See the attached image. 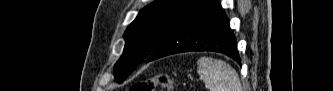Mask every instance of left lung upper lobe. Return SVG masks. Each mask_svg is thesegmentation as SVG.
I'll list each match as a JSON object with an SVG mask.
<instances>
[{"instance_id": "5c2ea615", "label": "left lung upper lobe", "mask_w": 333, "mask_h": 91, "mask_svg": "<svg viewBox=\"0 0 333 91\" xmlns=\"http://www.w3.org/2000/svg\"><path fill=\"white\" fill-rule=\"evenodd\" d=\"M196 2L197 0H156L140 11L124 33V51L114 66L118 83H122L148 58L172 26Z\"/></svg>"}]
</instances>
